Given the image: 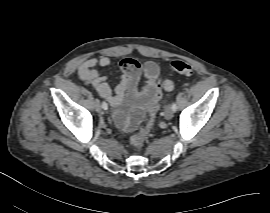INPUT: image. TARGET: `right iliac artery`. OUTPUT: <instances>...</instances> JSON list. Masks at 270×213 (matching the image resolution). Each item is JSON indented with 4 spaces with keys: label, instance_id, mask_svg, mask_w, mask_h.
Masks as SVG:
<instances>
[{
    "label": "right iliac artery",
    "instance_id": "82829eb1",
    "mask_svg": "<svg viewBox=\"0 0 270 213\" xmlns=\"http://www.w3.org/2000/svg\"><path fill=\"white\" fill-rule=\"evenodd\" d=\"M102 108L104 109V110H107L108 109V105H107V103L106 102H102Z\"/></svg>",
    "mask_w": 270,
    "mask_h": 213
}]
</instances>
